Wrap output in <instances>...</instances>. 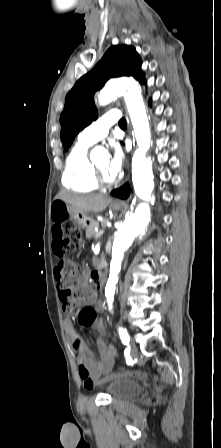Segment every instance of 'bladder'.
Instances as JSON below:
<instances>
[{
    "label": "bladder",
    "instance_id": "1",
    "mask_svg": "<svg viewBox=\"0 0 221 448\" xmlns=\"http://www.w3.org/2000/svg\"><path fill=\"white\" fill-rule=\"evenodd\" d=\"M107 393L112 400L130 399L141 391V384L132 378H114L107 385Z\"/></svg>",
    "mask_w": 221,
    "mask_h": 448
}]
</instances>
